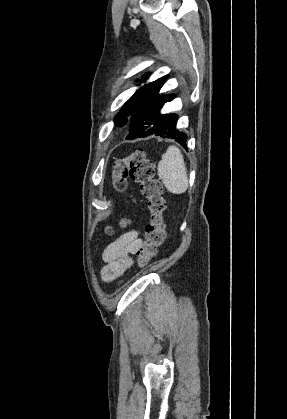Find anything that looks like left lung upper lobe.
<instances>
[{
    "instance_id": "1",
    "label": "left lung upper lobe",
    "mask_w": 287,
    "mask_h": 419,
    "mask_svg": "<svg viewBox=\"0 0 287 419\" xmlns=\"http://www.w3.org/2000/svg\"><path fill=\"white\" fill-rule=\"evenodd\" d=\"M168 76H163L138 89L134 95L125 103L120 113L114 118L115 125L123 126L130 122L132 114L146 101L156 97L163 83ZM129 116V119L127 118ZM128 119V120H127Z\"/></svg>"
}]
</instances>
